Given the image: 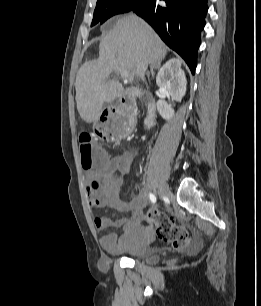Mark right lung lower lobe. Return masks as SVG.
Masks as SVG:
<instances>
[{
	"instance_id": "98d812e1",
	"label": "right lung lower lobe",
	"mask_w": 261,
	"mask_h": 306,
	"mask_svg": "<svg viewBox=\"0 0 261 306\" xmlns=\"http://www.w3.org/2000/svg\"><path fill=\"white\" fill-rule=\"evenodd\" d=\"M157 1L143 0L132 10L186 61L194 74L200 32L208 10L207 0H164L166 5L163 7Z\"/></svg>"
}]
</instances>
